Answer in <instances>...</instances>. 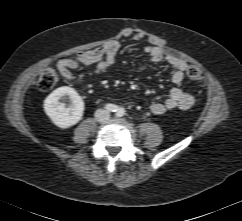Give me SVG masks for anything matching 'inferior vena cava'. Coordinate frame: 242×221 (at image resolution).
Masks as SVG:
<instances>
[{
    "mask_svg": "<svg viewBox=\"0 0 242 221\" xmlns=\"http://www.w3.org/2000/svg\"><path fill=\"white\" fill-rule=\"evenodd\" d=\"M110 113L106 109H98L95 112V118L98 122H107L109 120Z\"/></svg>",
    "mask_w": 242,
    "mask_h": 221,
    "instance_id": "obj_1",
    "label": "inferior vena cava"
}]
</instances>
